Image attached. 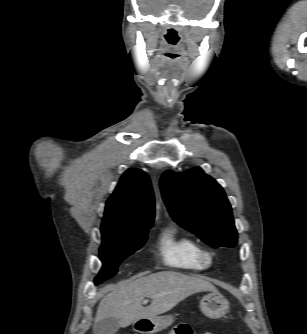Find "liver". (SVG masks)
Returning a JSON list of instances; mask_svg holds the SVG:
<instances>
[{"instance_id": "liver-1", "label": "liver", "mask_w": 307, "mask_h": 334, "mask_svg": "<svg viewBox=\"0 0 307 334\" xmlns=\"http://www.w3.org/2000/svg\"><path fill=\"white\" fill-rule=\"evenodd\" d=\"M110 290L99 303L95 323L117 318L121 327L163 314L196 292H217L216 287L206 280L174 271L157 272L112 285ZM145 298L151 299L147 307L142 305Z\"/></svg>"}]
</instances>
